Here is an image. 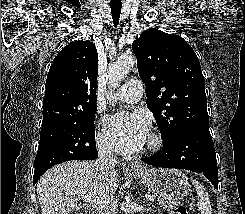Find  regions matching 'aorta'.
Masks as SVG:
<instances>
[{"mask_svg": "<svg viewBox=\"0 0 245 214\" xmlns=\"http://www.w3.org/2000/svg\"><path fill=\"white\" fill-rule=\"evenodd\" d=\"M135 62L133 55H124L109 65L107 77L111 88L114 89L118 86L119 82L133 68Z\"/></svg>", "mask_w": 245, "mask_h": 214, "instance_id": "aorta-1", "label": "aorta"}]
</instances>
